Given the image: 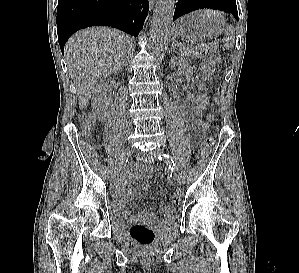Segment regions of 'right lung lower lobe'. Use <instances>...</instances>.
<instances>
[{"label": "right lung lower lobe", "mask_w": 299, "mask_h": 273, "mask_svg": "<svg viewBox=\"0 0 299 273\" xmlns=\"http://www.w3.org/2000/svg\"><path fill=\"white\" fill-rule=\"evenodd\" d=\"M148 14V0H58L57 33L63 53L68 38L90 26H111L137 36Z\"/></svg>", "instance_id": "right-lung-lower-lobe-1"}]
</instances>
